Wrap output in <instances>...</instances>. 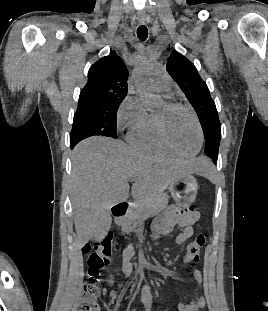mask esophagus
Listing matches in <instances>:
<instances>
[{"label":"esophagus","instance_id":"1","mask_svg":"<svg viewBox=\"0 0 268 311\" xmlns=\"http://www.w3.org/2000/svg\"><path fill=\"white\" fill-rule=\"evenodd\" d=\"M138 22H139L140 24H145V22H146V17H145L144 15H139V16H138Z\"/></svg>","mask_w":268,"mask_h":311}]
</instances>
